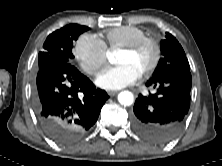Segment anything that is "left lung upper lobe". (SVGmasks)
I'll return each instance as SVG.
<instances>
[{"instance_id":"1","label":"left lung upper lobe","mask_w":222,"mask_h":166,"mask_svg":"<svg viewBox=\"0 0 222 166\" xmlns=\"http://www.w3.org/2000/svg\"><path fill=\"white\" fill-rule=\"evenodd\" d=\"M160 45L162 57L153 73V78L173 72L190 71L185 52L173 35L167 32Z\"/></svg>"}]
</instances>
